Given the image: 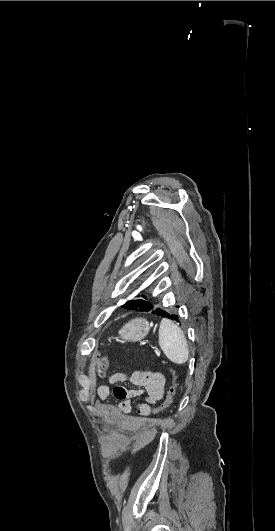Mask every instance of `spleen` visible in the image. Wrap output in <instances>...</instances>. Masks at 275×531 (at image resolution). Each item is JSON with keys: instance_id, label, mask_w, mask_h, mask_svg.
I'll return each instance as SVG.
<instances>
[{"instance_id": "3e777b00", "label": "spleen", "mask_w": 275, "mask_h": 531, "mask_svg": "<svg viewBox=\"0 0 275 531\" xmlns=\"http://www.w3.org/2000/svg\"><path fill=\"white\" fill-rule=\"evenodd\" d=\"M159 345L166 357L176 363L184 365L189 357V349L185 335L170 319H162L159 329Z\"/></svg>"}]
</instances>
